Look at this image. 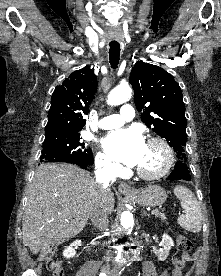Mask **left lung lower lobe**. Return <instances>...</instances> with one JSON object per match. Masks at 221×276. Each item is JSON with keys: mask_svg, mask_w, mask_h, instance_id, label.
Masks as SVG:
<instances>
[{"mask_svg": "<svg viewBox=\"0 0 221 276\" xmlns=\"http://www.w3.org/2000/svg\"><path fill=\"white\" fill-rule=\"evenodd\" d=\"M168 180H186L190 181L189 170L186 164L182 161H178L175 164L174 170L167 177Z\"/></svg>", "mask_w": 221, "mask_h": 276, "instance_id": "left-lung-lower-lobe-1", "label": "left lung lower lobe"}]
</instances>
